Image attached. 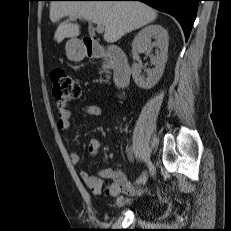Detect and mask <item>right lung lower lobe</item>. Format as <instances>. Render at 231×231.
<instances>
[{
  "instance_id": "98d812e1",
  "label": "right lung lower lobe",
  "mask_w": 231,
  "mask_h": 231,
  "mask_svg": "<svg viewBox=\"0 0 231 231\" xmlns=\"http://www.w3.org/2000/svg\"><path fill=\"white\" fill-rule=\"evenodd\" d=\"M95 1H110V0H95ZM114 1H141L149 6L166 12L177 19L180 23L186 40L190 35L198 3L201 0H114Z\"/></svg>"
}]
</instances>
